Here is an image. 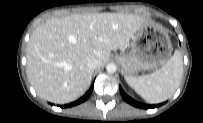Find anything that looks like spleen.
<instances>
[{
  "label": "spleen",
  "instance_id": "1",
  "mask_svg": "<svg viewBox=\"0 0 203 123\" xmlns=\"http://www.w3.org/2000/svg\"><path fill=\"white\" fill-rule=\"evenodd\" d=\"M183 62L179 51L159 70L145 76H126V82L148 103H160L170 98L179 87Z\"/></svg>",
  "mask_w": 203,
  "mask_h": 123
}]
</instances>
